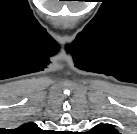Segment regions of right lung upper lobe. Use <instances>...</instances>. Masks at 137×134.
Segmentation results:
<instances>
[{"instance_id":"cb5924a9","label":"right lung upper lobe","mask_w":137,"mask_h":134,"mask_svg":"<svg viewBox=\"0 0 137 134\" xmlns=\"http://www.w3.org/2000/svg\"><path fill=\"white\" fill-rule=\"evenodd\" d=\"M22 134H40L42 130L33 122L25 123L17 129Z\"/></svg>"}]
</instances>
